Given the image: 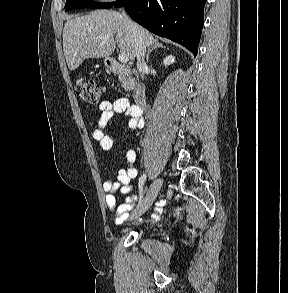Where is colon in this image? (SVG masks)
Masks as SVG:
<instances>
[{
	"mask_svg": "<svg viewBox=\"0 0 288 293\" xmlns=\"http://www.w3.org/2000/svg\"><path fill=\"white\" fill-rule=\"evenodd\" d=\"M76 94L85 102L97 104L103 95V88L91 78H81L76 83Z\"/></svg>",
	"mask_w": 288,
	"mask_h": 293,
	"instance_id": "1",
	"label": "colon"
}]
</instances>
